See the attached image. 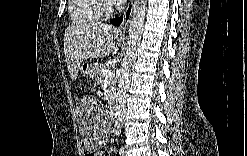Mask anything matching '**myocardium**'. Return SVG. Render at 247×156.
Masks as SVG:
<instances>
[{
    "mask_svg": "<svg viewBox=\"0 0 247 156\" xmlns=\"http://www.w3.org/2000/svg\"><path fill=\"white\" fill-rule=\"evenodd\" d=\"M116 12V7L110 1H99L98 13L101 17H108Z\"/></svg>",
    "mask_w": 247,
    "mask_h": 156,
    "instance_id": "obj_1",
    "label": "myocardium"
}]
</instances>
